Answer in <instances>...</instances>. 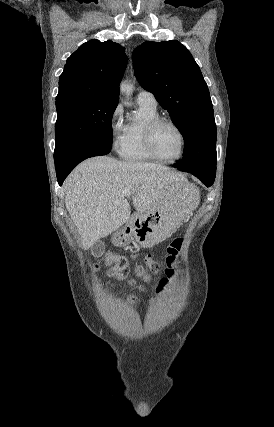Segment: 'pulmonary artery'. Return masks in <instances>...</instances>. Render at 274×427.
<instances>
[{
	"label": "pulmonary artery",
	"mask_w": 274,
	"mask_h": 427,
	"mask_svg": "<svg viewBox=\"0 0 274 427\" xmlns=\"http://www.w3.org/2000/svg\"><path fill=\"white\" fill-rule=\"evenodd\" d=\"M139 106H144L152 109L157 108V101L154 95L147 91H140L136 97Z\"/></svg>",
	"instance_id": "pulmonary-artery-1"
}]
</instances>
